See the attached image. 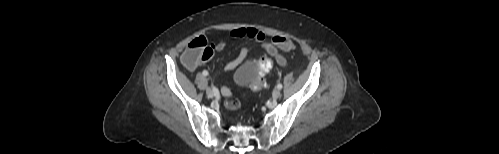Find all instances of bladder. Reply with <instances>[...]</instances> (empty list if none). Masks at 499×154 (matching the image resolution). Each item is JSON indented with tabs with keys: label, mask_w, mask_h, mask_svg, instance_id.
<instances>
[{
	"label": "bladder",
	"mask_w": 499,
	"mask_h": 154,
	"mask_svg": "<svg viewBox=\"0 0 499 154\" xmlns=\"http://www.w3.org/2000/svg\"><path fill=\"white\" fill-rule=\"evenodd\" d=\"M257 67L252 62L243 64L234 75V83L239 86H246L252 83L258 76Z\"/></svg>",
	"instance_id": "bladder-1"
}]
</instances>
